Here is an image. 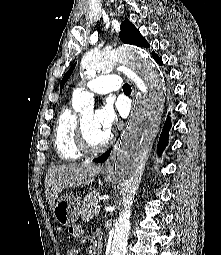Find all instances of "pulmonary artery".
I'll return each instance as SVG.
<instances>
[{
	"instance_id": "obj_1",
	"label": "pulmonary artery",
	"mask_w": 221,
	"mask_h": 255,
	"mask_svg": "<svg viewBox=\"0 0 221 255\" xmlns=\"http://www.w3.org/2000/svg\"><path fill=\"white\" fill-rule=\"evenodd\" d=\"M85 87L93 93L107 94L119 90L121 81L120 77L115 74H104L88 81Z\"/></svg>"
}]
</instances>
